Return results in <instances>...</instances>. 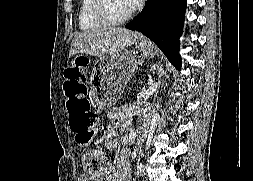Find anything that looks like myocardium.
<instances>
[{
  "mask_svg": "<svg viewBox=\"0 0 253 181\" xmlns=\"http://www.w3.org/2000/svg\"><path fill=\"white\" fill-rule=\"evenodd\" d=\"M94 14L98 20L108 26H118L127 22L133 16V10L120 18L112 16L109 10V0H95Z\"/></svg>",
  "mask_w": 253,
  "mask_h": 181,
  "instance_id": "1",
  "label": "myocardium"
}]
</instances>
